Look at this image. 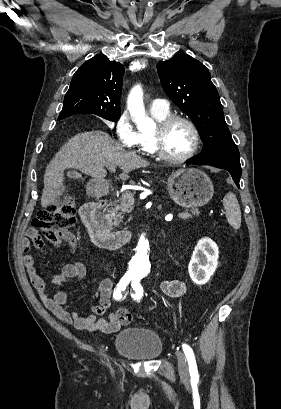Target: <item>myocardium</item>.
Returning a JSON list of instances; mask_svg holds the SVG:
<instances>
[{"mask_svg":"<svg viewBox=\"0 0 281 409\" xmlns=\"http://www.w3.org/2000/svg\"><path fill=\"white\" fill-rule=\"evenodd\" d=\"M175 122H183L190 129L193 144L191 149L183 156L175 157L169 155L163 147V137L167 129ZM152 152L159 158L171 162L182 163L191 159L198 151L200 145V135L196 125L186 116L169 115L162 121L156 123L155 127L147 133Z\"/></svg>","mask_w":281,"mask_h":409,"instance_id":"1","label":"myocardium"}]
</instances>
